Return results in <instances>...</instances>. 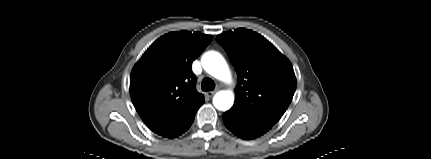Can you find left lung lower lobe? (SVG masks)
<instances>
[{"instance_id": "1", "label": "left lung lower lobe", "mask_w": 431, "mask_h": 159, "mask_svg": "<svg viewBox=\"0 0 431 159\" xmlns=\"http://www.w3.org/2000/svg\"><path fill=\"white\" fill-rule=\"evenodd\" d=\"M223 122L227 129L245 140L257 138L266 133L272 127L268 124L253 122L241 118L230 110L223 114Z\"/></svg>"}]
</instances>
